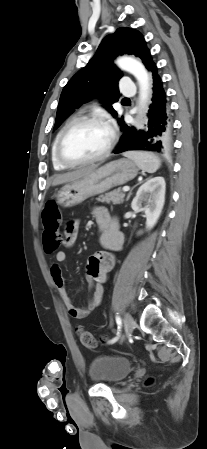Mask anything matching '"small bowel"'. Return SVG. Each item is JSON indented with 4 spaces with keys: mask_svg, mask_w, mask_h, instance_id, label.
Masks as SVG:
<instances>
[{
    "mask_svg": "<svg viewBox=\"0 0 207 449\" xmlns=\"http://www.w3.org/2000/svg\"><path fill=\"white\" fill-rule=\"evenodd\" d=\"M93 215L101 229L98 242L106 251L97 252L88 259L86 279L90 290V298L87 307H76L69 296L65 277L60 267V263L66 260L64 251L57 252L55 256L56 263L51 267V276L57 286L66 310L70 316L76 319L87 317L100 306L104 294V284L107 280L108 273L114 266V257L108 251L121 249L123 243L118 220L110 214L107 208L98 206L94 208ZM78 229L79 222L77 220L67 222L64 231V246L66 248H71L75 245L78 237Z\"/></svg>",
    "mask_w": 207,
    "mask_h": 449,
    "instance_id": "small-bowel-1",
    "label": "small bowel"
}]
</instances>
